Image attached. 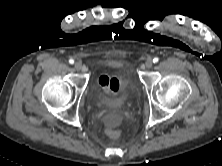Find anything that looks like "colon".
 Listing matches in <instances>:
<instances>
[{
	"instance_id": "colon-1",
	"label": "colon",
	"mask_w": 222,
	"mask_h": 166,
	"mask_svg": "<svg viewBox=\"0 0 222 166\" xmlns=\"http://www.w3.org/2000/svg\"><path fill=\"white\" fill-rule=\"evenodd\" d=\"M107 135L112 139H116L120 136V131L115 128H109L107 129Z\"/></svg>"
}]
</instances>
